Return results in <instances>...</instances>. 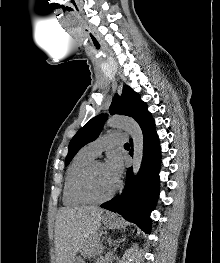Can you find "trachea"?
<instances>
[{
    "label": "trachea",
    "mask_w": 220,
    "mask_h": 263,
    "mask_svg": "<svg viewBox=\"0 0 220 263\" xmlns=\"http://www.w3.org/2000/svg\"><path fill=\"white\" fill-rule=\"evenodd\" d=\"M124 146L125 147H129L130 145H129V143H125Z\"/></svg>",
    "instance_id": "1"
}]
</instances>
